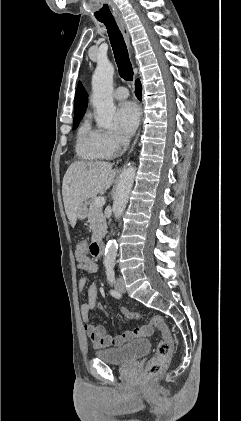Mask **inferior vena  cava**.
Here are the masks:
<instances>
[{"instance_id":"obj_1","label":"inferior vena cava","mask_w":241,"mask_h":421,"mask_svg":"<svg viewBox=\"0 0 241 421\" xmlns=\"http://www.w3.org/2000/svg\"><path fill=\"white\" fill-rule=\"evenodd\" d=\"M122 144H123V146H124V149H123V152H124V151H126V149H127L128 145H129V139H127V138H123V140H122Z\"/></svg>"}]
</instances>
